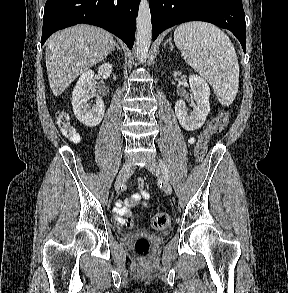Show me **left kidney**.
Listing matches in <instances>:
<instances>
[{
	"label": "left kidney",
	"mask_w": 288,
	"mask_h": 293,
	"mask_svg": "<svg viewBox=\"0 0 288 293\" xmlns=\"http://www.w3.org/2000/svg\"><path fill=\"white\" fill-rule=\"evenodd\" d=\"M181 72H174V77H177ZM189 84L193 99L196 102L194 110L187 113V107L183 100H178L175 103V114L180 125L187 131L199 129L205 122L206 117L210 112V88L208 83L198 75L189 76Z\"/></svg>",
	"instance_id": "1"
}]
</instances>
